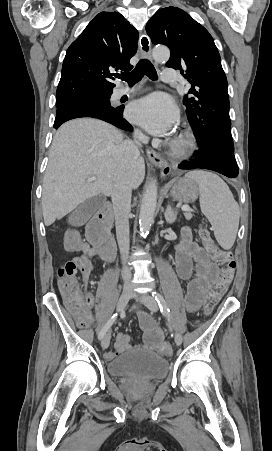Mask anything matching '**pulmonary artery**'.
Returning a JSON list of instances; mask_svg holds the SVG:
<instances>
[{"label": "pulmonary artery", "mask_w": 272, "mask_h": 451, "mask_svg": "<svg viewBox=\"0 0 272 451\" xmlns=\"http://www.w3.org/2000/svg\"><path fill=\"white\" fill-rule=\"evenodd\" d=\"M161 77H162V79H164V81H166V83L168 85H173L177 82V79L175 78L176 72L171 65H166L163 67L162 72H161ZM126 93L127 92L124 90H116L112 94V99L117 100V99L121 98L122 96H124Z\"/></svg>", "instance_id": "pulmonary-artery-1"}]
</instances>
